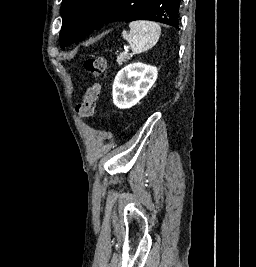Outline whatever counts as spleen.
Masks as SVG:
<instances>
[{"mask_svg":"<svg viewBox=\"0 0 256 267\" xmlns=\"http://www.w3.org/2000/svg\"><path fill=\"white\" fill-rule=\"evenodd\" d=\"M130 32L123 30L122 36L130 44L133 54H142L156 46L160 36L161 28L156 22L138 20L129 24Z\"/></svg>","mask_w":256,"mask_h":267,"instance_id":"1","label":"spleen"}]
</instances>
